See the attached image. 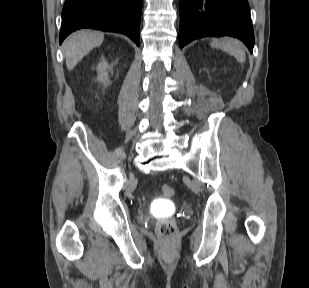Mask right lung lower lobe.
<instances>
[{
    "label": "right lung lower lobe",
    "mask_w": 309,
    "mask_h": 288,
    "mask_svg": "<svg viewBox=\"0 0 309 288\" xmlns=\"http://www.w3.org/2000/svg\"><path fill=\"white\" fill-rule=\"evenodd\" d=\"M141 7L142 0H66L59 43L77 29L93 28L123 33L139 45Z\"/></svg>",
    "instance_id": "98d812e1"
}]
</instances>
